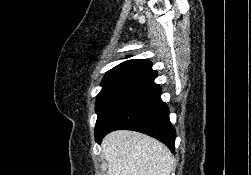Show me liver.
Here are the masks:
<instances>
[{
    "label": "liver",
    "instance_id": "obj_1",
    "mask_svg": "<svg viewBox=\"0 0 251 175\" xmlns=\"http://www.w3.org/2000/svg\"><path fill=\"white\" fill-rule=\"evenodd\" d=\"M101 145L107 175H170L174 167L170 149L139 131H111Z\"/></svg>",
    "mask_w": 251,
    "mask_h": 175
}]
</instances>
